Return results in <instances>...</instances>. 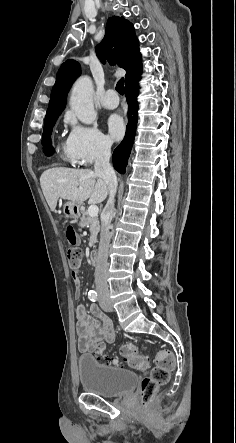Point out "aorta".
Wrapping results in <instances>:
<instances>
[{
	"label": "aorta",
	"instance_id": "762f6f07",
	"mask_svg": "<svg viewBox=\"0 0 236 443\" xmlns=\"http://www.w3.org/2000/svg\"><path fill=\"white\" fill-rule=\"evenodd\" d=\"M70 106L77 118L84 124H92L97 117L93 105V84L88 76L79 78L71 92Z\"/></svg>",
	"mask_w": 236,
	"mask_h": 443
}]
</instances>
